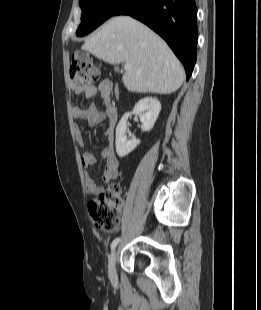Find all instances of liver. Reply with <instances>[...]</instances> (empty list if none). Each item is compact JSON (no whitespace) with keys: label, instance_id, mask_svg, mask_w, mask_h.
<instances>
[{"label":"liver","instance_id":"1","mask_svg":"<svg viewBox=\"0 0 261 310\" xmlns=\"http://www.w3.org/2000/svg\"><path fill=\"white\" fill-rule=\"evenodd\" d=\"M81 49L110 64H130L122 77L130 92L170 94L184 81L183 67L166 42L129 16L109 19Z\"/></svg>","mask_w":261,"mask_h":310}]
</instances>
